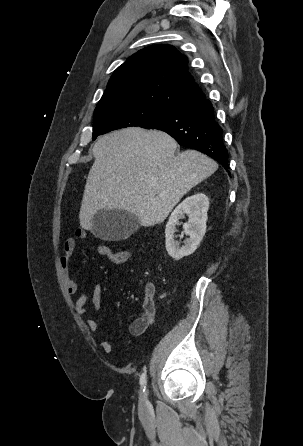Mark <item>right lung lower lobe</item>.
Masks as SVG:
<instances>
[{
  "label": "right lung lower lobe",
  "mask_w": 303,
  "mask_h": 446,
  "mask_svg": "<svg viewBox=\"0 0 303 446\" xmlns=\"http://www.w3.org/2000/svg\"><path fill=\"white\" fill-rule=\"evenodd\" d=\"M140 127L162 130L181 146L198 150L218 161L226 171L229 169L222 129L216 123L214 109L206 97L167 111Z\"/></svg>",
  "instance_id": "right-lung-lower-lobe-1"
}]
</instances>
